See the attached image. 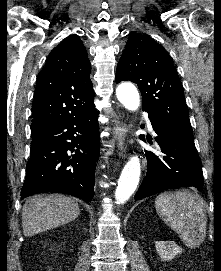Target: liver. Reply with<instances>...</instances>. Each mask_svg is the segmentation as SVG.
I'll list each match as a JSON object with an SVG mask.
<instances>
[{
  "label": "liver",
  "mask_w": 221,
  "mask_h": 271,
  "mask_svg": "<svg viewBox=\"0 0 221 271\" xmlns=\"http://www.w3.org/2000/svg\"><path fill=\"white\" fill-rule=\"evenodd\" d=\"M80 215L79 203L72 197L51 193V195H33L26 199L22 207V227L24 235H35L40 231L53 229L73 221Z\"/></svg>",
  "instance_id": "liver-1"
}]
</instances>
